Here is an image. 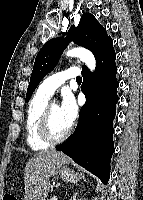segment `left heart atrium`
I'll list each match as a JSON object with an SVG mask.
<instances>
[{
    "label": "left heart atrium",
    "mask_w": 143,
    "mask_h": 200,
    "mask_svg": "<svg viewBox=\"0 0 143 200\" xmlns=\"http://www.w3.org/2000/svg\"><path fill=\"white\" fill-rule=\"evenodd\" d=\"M60 114L66 123L71 126L77 115V106L70 92H64L59 106Z\"/></svg>",
    "instance_id": "1"
}]
</instances>
